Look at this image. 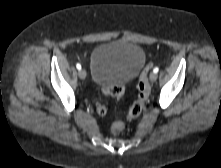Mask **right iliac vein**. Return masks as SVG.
<instances>
[{
	"label": "right iliac vein",
	"instance_id": "63e3f726",
	"mask_svg": "<svg viewBox=\"0 0 221 168\" xmlns=\"http://www.w3.org/2000/svg\"><path fill=\"white\" fill-rule=\"evenodd\" d=\"M78 75L80 79H85L86 78V71L84 69H80L78 72Z\"/></svg>",
	"mask_w": 221,
	"mask_h": 168
}]
</instances>
